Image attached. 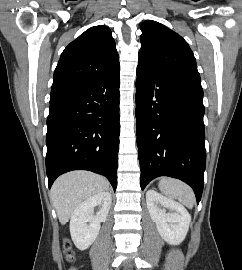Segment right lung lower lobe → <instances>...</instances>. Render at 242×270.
<instances>
[{"instance_id":"obj_1","label":"right lung lower lobe","mask_w":242,"mask_h":270,"mask_svg":"<svg viewBox=\"0 0 242 270\" xmlns=\"http://www.w3.org/2000/svg\"><path fill=\"white\" fill-rule=\"evenodd\" d=\"M120 70L50 98L46 171L49 188L77 169L107 177L116 190L119 149Z\"/></svg>"}]
</instances>
